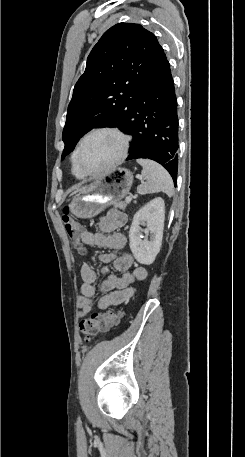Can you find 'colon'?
<instances>
[{
	"label": "colon",
	"mask_w": 245,
	"mask_h": 457,
	"mask_svg": "<svg viewBox=\"0 0 245 457\" xmlns=\"http://www.w3.org/2000/svg\"><path fill=\"white\" fill-rule=\"evenodd\" d=\"M63 225L67 236L73 245L80 251L83 250L82 229L73 220L69 208L65 207L62 216ZM122 317L120 311L111 310L105 313H94L91 317L83 319L80 324V332L86 340L101 332H107L117 325Z\"/></svg>",
	"instance_id": "5ec220e1"
}]
</instances>
